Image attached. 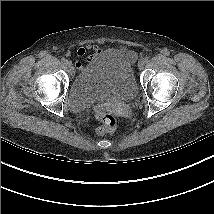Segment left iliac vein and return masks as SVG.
Returning a JSON list of instances; mask_svg holds the SVG:
<instances>
[{"mask_svg": "<svg viewBox=\"0 0 214 214\" xmlns=\"http://www.w3.org/2000/svg\"><path fill=\"white\" fill-rule=\"evenodd\" d=\"M144 65H145L144 60H140V61L138 62V68H139L140 70L144 68Z\"/></svg>", "mask_w": 214, "mask_h": 214, "instance_id": "left-iliac-vein-1", "label": "left iliac vein"}]
</instances>
